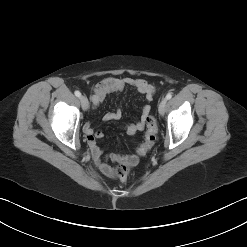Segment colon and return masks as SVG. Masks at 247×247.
Wrapping results in <instances>:
<instances>
[{"mask_svg":"<svg viewBox=\"0 0 247 247\" xmlns=\"http://www.w3.org/2000/svg\"><path fill=\"white\" fill-rule=\"evenodd\" d=\"M146 131L143 143L137 148L138 155H145L154 145L158 133L156 120L153 116L146 118ZM130 171V165L127 162H120L116 165L114 172L121 181H126Z\"/></svg>","mask_w":247,"mask_h":247,"instance_id":"5ec220e1","label":"colon"}]
</instances>
